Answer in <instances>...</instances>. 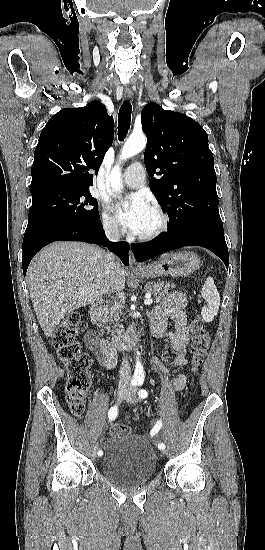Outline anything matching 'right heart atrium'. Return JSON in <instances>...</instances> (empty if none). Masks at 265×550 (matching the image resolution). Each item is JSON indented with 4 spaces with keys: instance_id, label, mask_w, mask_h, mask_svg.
<instances>
[{
    "instance_id": "d8ad5b80",
    "label": "right heart atrium",
    "mask_w": 265,
    "mask_h": 550,
    "mask_svg": "<svg viewBox=\"0 0 265 550\" xmlns=\"http://www.w3.org/2000/svg\"><path fill=\"white\" fill-rule=\"evenodd\" d=\"M101 222L105 232L108 235L112 237H117L120 235L118 223L115 218L108 213L106 207L103 208Z\"/></svg>"
}]
</instances>
